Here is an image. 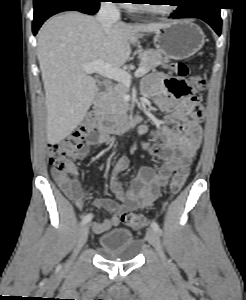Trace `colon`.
Instances as JSON below:
<instances>
[{
	"instance_id": "5ec220e1",
	"label": "colon",
	"mask_w": 246,
	"mask_h": 300,
	"mask_svg": "<svg viewBox=\"0 0 246 300\" xmlns=\"http://www.w3.org/2000/svg\"><path fill=\"white\" fill-rule=\"evenodd\" d=\"M169 67L179 78L184 79L189 74V68L183 62H172L169 64ZM187 84V92L193 101L191 114L199 118L202 116L199 91L205 86V81L201 76L195 75ZM94 131L95 120L93 116H89L70 136L59 142L50 144L48 147V160L52 171L59 174H72L74 172V159L84 151L87 140ZM189 174V164H183L176 169L169 185V194L171 196L179 194ZM122 221L134 229H141L147 225V219L143 215L136 213H124Z\"/></svg>"
}]
</instances>
